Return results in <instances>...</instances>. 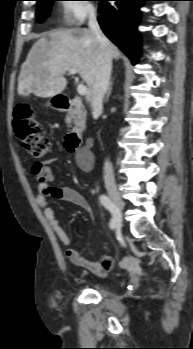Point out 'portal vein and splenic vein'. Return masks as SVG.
Wrapping results in <instances>:
<instances>
[{
	"label": "portal vein and splenic vein",
	"mask_w": 193,
	"mask_h": 349,
	"mask_svg": "<svg viewBox=\"0 0 193 349\" xmlns=\"http://www.w3.org/2000/svg\"><path fill=\"white\" fill-rule=\"evenodd\" d=\"M77 73H78V70H76V69H71V70H69V74L74 75V74H77ZM77 91H78V93H79L80 95H86L87 92H88V89H87V87H86L85 85L79 84V85L77 86Z\"/></svg>",
	"instance_id": "obj_1"
}]
</instances>
